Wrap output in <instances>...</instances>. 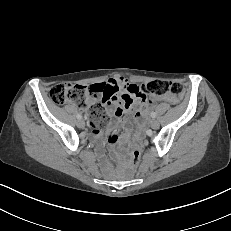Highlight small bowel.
I'll use <instances>...</instances> for the list:
<instances>
[{"mask_svg":"<svg viewBox=\"0 0 231 231\" xmlns=\"http://www.w3.org/2000/svg\"><path fill=\"white\" fill-rule=\"evenodd\" d=\"M92 97L89 101L101 99L107 106V112L115 118H120L125 112L136 113L138 119H142L148 112V106L140 95L138 84L129 83L125 76L117 75L102 83L90 85ZM163 102H171L170 96H163ZM93 135L98 139H106L109 143H116L119 139L117 125L113 123L104 133L100 127L92 126Z\"/></svg>","mask_w":231,"mask_h":231,"instance_id":"small-bowel-1","label":"small bowel"}]
</instances>
